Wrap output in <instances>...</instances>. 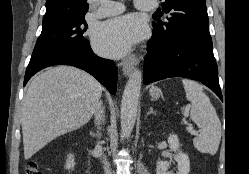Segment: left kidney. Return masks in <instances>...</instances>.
<instances>
[{"label": "left kidney", "instance_id": "left-kidney-1", "mask_svg": "<svg viewBox=\"0 0 249 174\" xmlns=\"http://www.w3.org/2000/svg\"><path fill=\"white\" fill-rule=\"evenodd\" d=\"M168 144L172 151L176 152L174 159L178 163V172L176 174H188L190 171V161L187 154L178 152L180 147L179 139L177 135H170L168 137ZM168 161H159L157 163L156 174H171L168 172Z\"/></svg>", "mask_w": 249, "mask_h": 174}]
</instances>
